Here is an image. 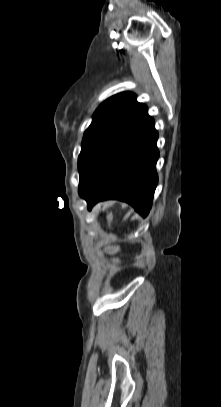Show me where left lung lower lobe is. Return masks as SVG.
<instances>
[{"label": "left lung lower lobe", "instance_id": "1", "mask_svg": "<svg viewBox=\"0 0 221 407\" xmlns=\"http://www.w3.org/2000/svg\"><path fill=\"white\" fill-rule=\"evenodd\" d=\"M157 139L154 120L143 105L79 189L89 210L99 201L118 199L147 216L158 183Z\"/></svg>", "mask_w": 221, "mask_h": 407}]
</instances>
